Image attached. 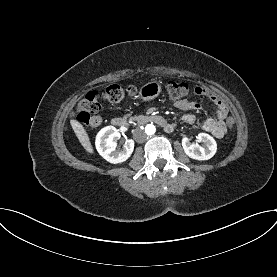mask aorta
Listing matches in <instances>:
<instances>
[{"label": "aorta", "mask_w": 277, "mask_h": 277, "mask_svg": "<svg viewBox=\"0 0 277 277\" xmlns=\"http://www.w3.org/2000/svg\"><path fill=\"white\" fill-rule=\"evenodd\" d=\"M156 132V127L153 124H148L145 126V133L147 135H153Z\"/></svg>", "instance_id": "1"}]
</instances>
